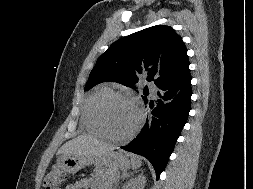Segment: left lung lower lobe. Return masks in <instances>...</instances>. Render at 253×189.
<instances>
[{
  "mask_svg": "<svg viewBox=\"0 0 253 189\" xmlns=\"http://www.w3.org/2000/svg\"><path fill=\"white\" fill-rule=\"evenodd\" d=\"M157 106L137 137L122 149L146 157L157 179L164 170L175 142L186 124L191 107V74L188 57L177 72L158 87Z\"/></svg>",
  "mask_w": 253,
  "mask_h": 189,
  "instance_id": "obj_1",
  "label": "left lung lower lobe"
}]
</instances>
